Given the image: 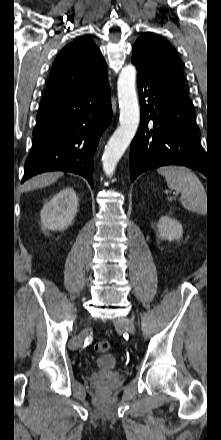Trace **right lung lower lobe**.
Here are the masks:
<instances>
[{"label": "right lung lower lobe", "instance_id": "98d812e1", "mask_svg": "<svg viewBox=\"0 0 221 440\" xmlns=\"http://www.w3.org/2000/svg\"><path fill=\"white\" fill-rule=\"evenodd\" d=\"M111 117L108 83L93 91L44 97L22 183L43 172L68 171L93 187L94 154Z\"/></svg>", "mask_w": 221, "mask_h": 440}]
</instances>
